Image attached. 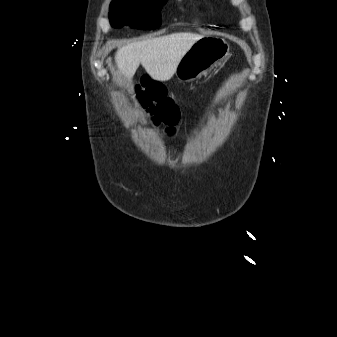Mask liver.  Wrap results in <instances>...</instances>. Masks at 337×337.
Here are the masks:
<instances>
[{
	"instance_id": "6515ba94",
	"label": "liver",
	"mask_w": 337,
	"mask_h": 337,
	"mask_svg": "<svg viewBox=\"0 0 337 337\" xmlns=\"http://www.w3.org/2000/svg\"><path fill=\"white\" fill-rule=\"evenodd\" d=\"M202 38V35L192 33H173L128 43L117 50L115 61L128 80L132 79L141 64L151 78L167 81L175 74L186 52Z\"/></svg>"
}]
</instances>
